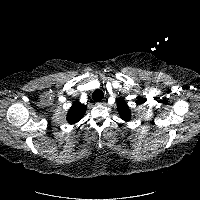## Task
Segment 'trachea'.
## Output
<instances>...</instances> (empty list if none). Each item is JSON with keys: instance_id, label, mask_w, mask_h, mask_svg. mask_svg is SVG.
Wrapping results in <instances>:
<instances>
[{"instance_id": "3493384b", "label": "trachea", "mask_w": 200, "mask_h": 200, "mask_svg": "<svg viewBox=\"0 0 200 200\" xmlns=\"http://www.w3.org/2000/svg\"><path fill=\"white\" fill-rule=\"evenodd\" d=\"M104 97V93L103 91L101 90H95L93 93H92V99L96 102H99L103 99Z\"/></svg>"}]
</instances>
